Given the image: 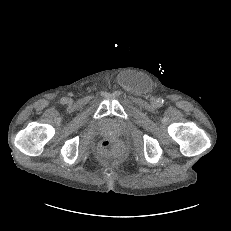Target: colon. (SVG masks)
<instances>
[{
  "instance_id": "obj_1",
  "label": "colon",
  "mask_w": 231,
  "mask_h": 231,
  "mask_svg": "<svg viewBox=\"0 0 231 231\" xmlns=\"http://www.w3.org/2000/svg\"><path fill=\"white\" fill-rule=\"evenodd\" d=\"M118 151L117 144L112 139L104 140L100 145V152L106 157L114 156Z\"/></svg>"
}]
</instances>
